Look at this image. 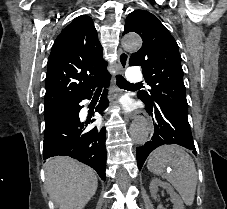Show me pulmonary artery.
I'll return each mask as SVG.
<instances>
[{"label": "pulmonary artery", "instance_id": "e3ab8cb5", "mask_svg": "<svg viewBox=\"0 0 227 209\" xmlns=\"http://www.w3.org/2000/svg\"><path fill=\"white\" fill-rule=\"evenodd\" d=\"M128 70V73H124L127 83H143L144 73L141 70H137L136 66H129Z\"/></svg>", "mask_w": 227, "mask_h": 209}]
</instances>
